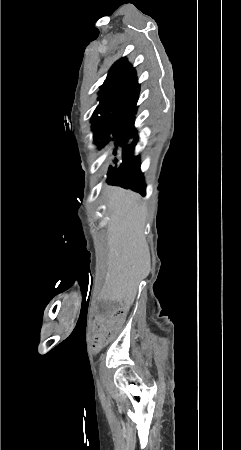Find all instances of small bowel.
<instances>
[{
	"label": "small bowel",
	"instance_id": "c3829d8e",
	"mask_svg": "<svg viewBox=\"0 0 241 450\" xmlns=\"http://www.w3.org/2000/svg\"><path fill=\"white\" fill-rule=\"evenodd\" d=\"M119 310H112L111 316L112 319H126L127 312H128V303L125 300L120 301L119 303ZM98 317L100 319H106L108 317V312L106 310H100L98 312ZM103 322L100 320L95 321L94 326L95 328L92 330V333L96 336H94L91 345L94 348L100 347L101 344L107 343L108 341H112L114 339V336L117 335L119 327L118 321H113L111 323V328H106L105 330L101 329L103 327ZM105 333V336L101 335Z\"/></svg>",
	"mask_w": 241,
	"mask_h": 450
}]
</instances>
